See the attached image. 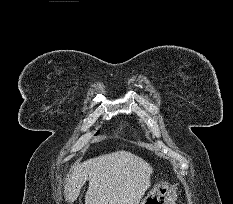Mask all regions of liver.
<instances>
[{
  "instance_id": "6515ba94",
  "label": "liver",
  "mask_w": 233,
  "mask_h": 204,
  "mask_svg": "<svg viewBox=\"0 0 233 204\" xmlns=\"http://www.w3.org/2000/svg\"><path fill=\"white\" fill-rule=\"evenodd\" d=\"M152 173L149 163L129 151L103 154L71 168L65 197L73 203L89 179L85 204H137L150 185Z\"/></svg>"
}]
</instances>
